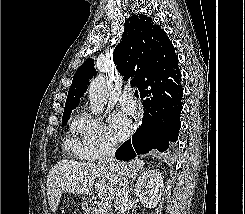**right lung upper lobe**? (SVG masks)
Listing matches in <instances>:
<instances>
[{"mask_svg":"<svg viewBox=\"0 0 245 214\" xmlns=\"http://www.w3.org/2000/svg\"><path fill=\"white\" fill-rule=\"evenodd\" d=\"M114 64L124 80L131 78V84L139 91L149 73L159 66L175 62L178 58L174 46L160 26L145 16H131L125 22L121 42L113 53ZM94 60L87 59L77 70L68 91L64 113L69 114L78 106L87 90L89 79L95 75Z\"/></svg>","mask_w":245,"mask_h":214,"instance_id":"obj_1","label":"right lung upper lobe"}]
</instances>
